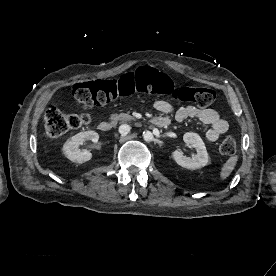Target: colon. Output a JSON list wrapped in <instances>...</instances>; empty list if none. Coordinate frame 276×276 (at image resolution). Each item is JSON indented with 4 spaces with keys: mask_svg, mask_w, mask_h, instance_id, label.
I'll return each mask as SVG.
<instances>
[{
    "mask_svg": "<svg viewBox=\"0 0 276 276\" xmlns=\"http://www.w3.org/2000/svg\"><path fill=\"white\" fill-rule=\"evenodd\" d=\"M135 93L169 96L172 99L207 107L214 103L216 95L209 88L177 87L166 74L143 66L135 72L123 75L118 80L82 82L74 86L72 94L75 101L85 108H99L118 98ZM45 131L49 138H57L72 129L90 123L87 113L66 114L56 107H50L45 113ZM236 150V141L232 136L225 137L220 144V152L232 155Z\"/></svg>",
    "mask_w": 276,
    "mask_h": 276,
    "instance_id": "colon-1",
    "label": "colon"
}]
</instances>
